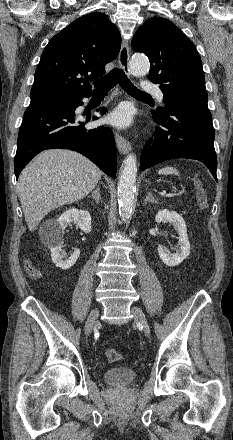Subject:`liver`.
<instances>
[{"mask_svg": "<svg viewBox=\"0 0 233 440\" xmlns=\"http://www.w3.org/2000/svg\"><path fill=\"white\" fill-rule=\"evenodd\" d=\"M101 170L83 155L50 149L40 153L21 172L18 196L30 231L50 211L86 197L97 185Z\"/></svg>", "mask_w": 233, "mask_h": 440, "instance_id": "1", "label": "liver"}]
</instances>
